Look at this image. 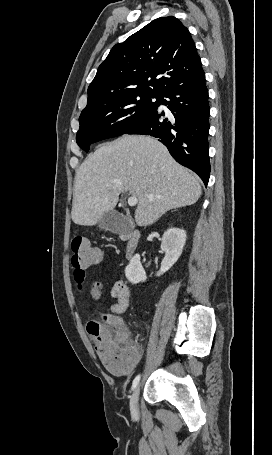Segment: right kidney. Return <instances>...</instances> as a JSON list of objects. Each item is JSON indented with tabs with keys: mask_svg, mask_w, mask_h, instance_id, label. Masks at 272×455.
<instances>
[{
	"mask_svg": "<svg viewBox=\"0 0 272 455\" xmlns=\"http://www.w3.org/2000/svg\"><path fill=\"white\" fill-rule=\"evenodd\" d=\"M185 242L186 232L183 229L170 228L164 233L161 249L165 252V256L161 262V267L157 272V276L167 272L177 262L182 254ZM125 275L132 284L146 280V273L140 262L139 254H136L130 260V263L125 268Z\"/></svg>",
	"mask_w": 272,
	"mask_h": 455,
	"instance_id": "right-kidney-1",
	"label": "right kidney"
}]
</instances>
